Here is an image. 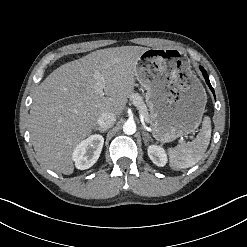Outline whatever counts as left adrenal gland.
<instances>
[{
	"label": "left adrenal gland",
	"mask_w": 247,
	"mask_h": 247,
	"mask_svg": "<svg viewBox=\"0 0 247 247\" xmlns=\"http://www.w3.org/2000/svg\"><path fill=\"white\" fill-rule=\"evenodd\" d=\"M143 134V140L145 145H147V142L151 139L150 135L143 129L142 131Z\"/></svg>",
	"instance_id": "obj_1"
}]
</instances>
